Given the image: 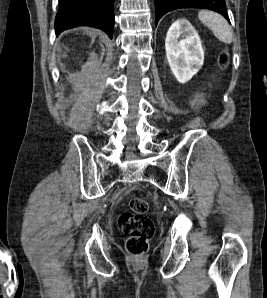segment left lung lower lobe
<instances>
[{
	"mask_svg": "<svg viewBox=\"0 0 267 298\" xmlns=\"http://www.w3.org/2000/svg\"><path fill=\"white\" fill-rule=\"evenodd\" d=\"M155 2V24L169 11L179 8H204L222 14L228 21L225 0H154Z\"/></svg>",
	"mask_w": 267,
	"mask_h": 298,
	"instance_id": "0a47b994",
	"label": "left lung lower lobe"
}]
</instances>
